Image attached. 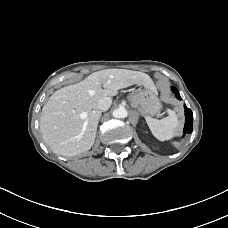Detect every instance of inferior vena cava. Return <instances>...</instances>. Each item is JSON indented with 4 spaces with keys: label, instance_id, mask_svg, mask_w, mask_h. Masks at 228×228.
Masks as SVG:
<instances>
[{
    "label": "inferior vena cava",
    "instance_id": "obj_1",
    "mask_svg": "<svg viewBox=\"0 0 228 228\" xmlns=\"http://www.w3.org/2000/svg\"><path fill=\"white\" fill-rule=\"evenodd\" d=\"M112 99L110 97H104L100 99L97 103V108L100 111H106L110 108Z\"/></svg>",
    "mask_w": 228,
    "mask_h": 228
}]
</instances>
